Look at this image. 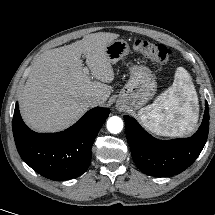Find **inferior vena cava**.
I'll return each mask as SVG.
<instances>
[{"instance_id": "1", "label": "inferior vena cava", "mask_w": 215, "mask_h": 215, "mask_svg": "<svg viewBox=\"0 0 215 215\" xmlns=\"http://www.w3.org/2000/svg\"><path fill=\"white\" fill-rule=\"evenodd\" d=\"M87 101H88L89 106H91V107L103 104L102 99L97 96H91L88 98Z\"/></svg>"}]
</instances>
